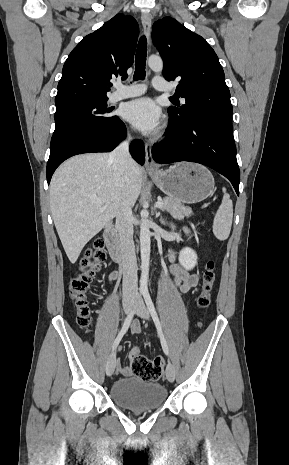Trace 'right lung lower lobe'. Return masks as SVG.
<instances>
[{
	"label": "right lung lower lobe",
	"instance_id": "right-lung-lower-lobe-1",
	"mask_svg": "<svg viewBox=\"0 0 289 465\" xmlns=\"http://www.w3.org/2000/svg\"><path fill=\"white\" fill-rule=\"evenodd\" d=\"M125 136L126 127L117 117L108 127L80 132L65 142L51 148L47 163L48 184L50 183L54 171L64 160L82 153L110 152L125 138ZM130 153L139 164H144L145 150L143 144L139 140H134L131 143Z\"/></svg>",
	"mask_w": 289,
	"mask_h": 465
}]
</instances>
